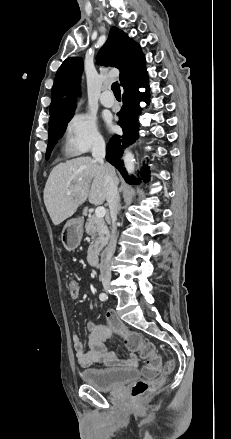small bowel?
I'll return each mask as SVG.
<instances>
[{
  "mask_svg": "<svg viewBox=\"0 0 231 439\" xmlns=\"http://www.w3.org/2000/svg\"><path fill=\"white\" fill-rule=\"evenodd\" d=\"M87 330L88 350L84 349V344L80 334L74 333L72 335L73 348L75 350L78 364L81 367L88 368L94 364L127 367L138 366L139 359L135 353H131L126 359H121L115 352L109 350L106 345L107 340L113 334L123 336L124 333L128 331L125 325L113 312H108L106 314L105 324L89 322L87 324Z\"/></svg>",
  "mask_w": 231,
  "mask_h": 439,
  "instance_id": "1",
  "label": "small bowel"
}]
</instances>
